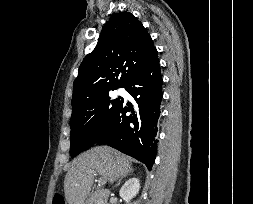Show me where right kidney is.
I'll return each mask as SVG.
<instances>
[{"label":"right kidney","instance_id":"1","mask_svg":"<svg viewBox=\"0 0 253 204\" xmlns=\"http://www.w3.org/2000/svg\"><path fill=\"white\" fill-rule=\"evenodd\" d=\"M140 189V180L138 178H131L121 187L119 195L127 203L134 198Z\"/></svg>","mask_w":253,"mask_h":204}]
</instances>
